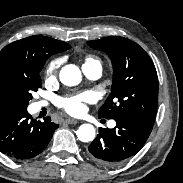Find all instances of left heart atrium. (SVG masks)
I'll use <instances>...</instances> for the list:
<instances>
[{
  "label": "left heart atrium",
  "instance_id": "39dd6f15",
  "mask_svg": "<svg viewBox=\"0 0 183 183\" xmlns=\"http://www.w3.org/2000/svg\"><path fill=\"white\" fill-rule=\"evenodd\" d=\"M93 100V93L87 91L76 95L60 97L57 99V104L68 114L79 115L85 110V104L92 102Z\"/></svg>",
  "mask_w": 183,
  "mask_h": 183
}]
</instances>
